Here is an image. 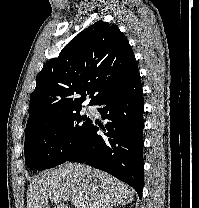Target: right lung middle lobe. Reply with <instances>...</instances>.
Returning <instances> with one entry per match:
<instances>
[{
  "label": "right lung middle lobe",
  "instance_id": "obj_1",
  "mask_svg": "<svg viewBox=\"0 0 199 208\" xmlns=\"http://www.w3.org/2000/svg\"><path fill=\"white\" fill-rule=\"evenodd\" d=\"M81 108L60 116L25 134V164L43 170L67 161L78 147L92 120Z\"/></svg>",
  "mask_w": 199,
  "mask_h": 208
}]
</instances>
